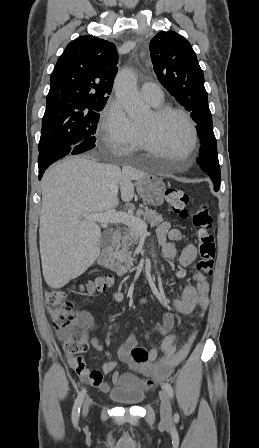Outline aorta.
<instances>
[{
    "label": "aorta",
    "mask_w": 259,
    "mask_h": 448,
    "mask_svg": "<svg viewBox=\"0 0 259 448\" xmlns=\"http://www.w3.org/2000/svg\"><path fill=\"white\" fill-rule=\"evenodd\" d=\"M114 91L117 100L131 119H138L145 111V105L137 89L136 77L131 69H123L116 75Z\"/></svg>",
    "instance_id": "aorta-1"
}]
</instances>
